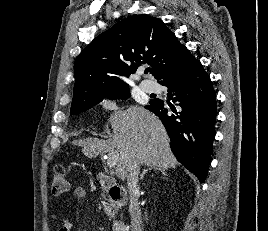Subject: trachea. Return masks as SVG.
<instances>
[{"mask_svg":"<svg viewBox=\"0 0 268 231\" xmlns=\"http://www.w3.org/2000/svg\"><path fill=\"white\" fill-rule=\"evenodd\" d=\"M149 71H150V69L147 68V69L145 70V74H147Z\"/></svg>","mask_w":268,"mask_h":231,"instance_id":"1","label":"trachea"}]
</instances>
